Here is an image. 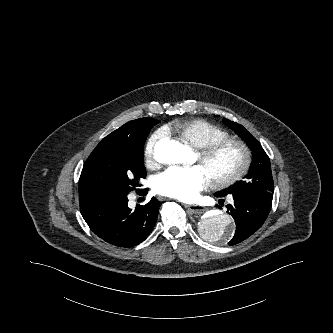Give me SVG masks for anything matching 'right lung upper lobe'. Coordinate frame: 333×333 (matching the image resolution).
<instances>
[{"instance_id": "cb5924a9", "label": "right lung upper lobe", "mask_w": 333, "mask_h": 333, "mask_svg": "<svg viewBox=\"0 0 333 333\" xmlns=\"http://www.w3.org/2000/svg\"><path fill=\"white\" fill-rule=\"evenodd\" d=\"M145 118L137 119L130 121L114 132L110 133L107 139H125V140H134L138 137L141 125L143 124Z\"/></svg>"}]
</instances>
